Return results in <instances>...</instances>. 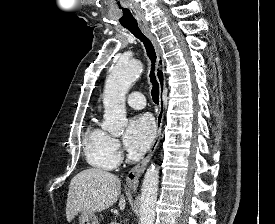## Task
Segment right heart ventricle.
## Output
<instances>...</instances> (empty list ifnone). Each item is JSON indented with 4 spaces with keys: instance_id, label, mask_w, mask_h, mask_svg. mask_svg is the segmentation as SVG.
<instances>
[{
    "instance_id": "right-heart-ventricle-1",
    "label": "right heart ventricle",
    "mask_w": 275,
    "mask_h": 224,
    "mask_svg": "<svg viewBox=\"0 0 275 224\" xmlns=\"http://www.w3.org/2000/svg\"><path fill=\"white\" fill-rule=\"evenodd\" d=\"M84 155L87 163L100 170H112L119 163V156L112 145L111 135L92 121L84 135Z\"/></svg>"
}]
</instances>
